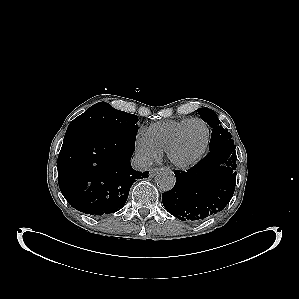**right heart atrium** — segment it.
<instances>
[{
    "mask_svg": "<svg viewBox=\"0 0 299 299\" xmlns=\"http://www.w3.org/2000/svg\"><path fill=\"white\" fill-rule=\"evenodd\" d=\"M159 154L142 135L138 137L136 141V155L142 164H147L158 158Z\"/></svg>",
    "mask_w": 299,
    "mask_h": 299,
    "instance_id": "obj_1",
    "label": "right heart atrium"
}]
</instances>
